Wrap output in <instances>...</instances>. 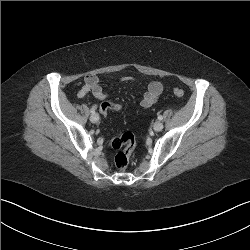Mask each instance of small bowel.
I'll list each match as a JSON object with an SVG mask.
<instances>
[{
    "mask_svg": "<svg viewBox=\"0 0 250 250\" xmlns=\"http://www.w3.org/2000/svg\"><path fill=\"white\" fill-rule=\"evenodd\" d=\"M122 82H135L137 79L132 76H123L120 78ZM163 91V86L159 81H152L148 83L147 89L143 95L141 106L144 108H149L157 103ZM89 92L98 99L105 100L108 97V92L104 90L100 83L99 79L95 75H86L84 77V84L79 89L77 95L78 97H84Z\"/></svg>",
    "mask_w": 250,
    "mask_h": 250,
    "instance_id": "small-bowel-1",
    "label": "small bowel"
}]
</instances>
